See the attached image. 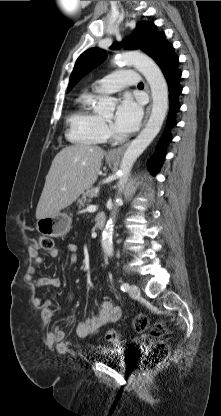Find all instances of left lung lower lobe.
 Returning a JSON list of instances; mask_svg holds the SVG:
<instances>
[{"label": "left lung lower lobe", "instance_id": "1", "mask_svg": "<svg viewBox=\"0 0 221 416\" xmlns=\"http://www.w3.org/2000/svg\"><path fill=\"white\" fill-rule=\"evenodd\" d=\"M149 56L159 65L167 80L170 101L166 128L161 136L155 155L148 162L150 172L152 175H155L165 158V148L172 140L170 130L176 125L175 115L180 108L178 97L182 88L179 86L181 72L177 69L178 57L174 54L172 45L166 42L164 34L160 37Z\"/></svg>", "mask_w": 221, "mask_h": 416}]
</instances>
